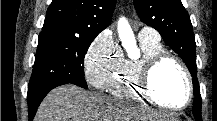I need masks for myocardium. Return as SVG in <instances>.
<instances>
[{
  "label": "myocardium",
  "mask_w": 217,
  "mask_h": 121,
  "mask_svg": "<svg viewBox=\"0 0 217 121\" xmlns=\"http://www.w3.org/2000/svg\"><path fill=\"white\" fill-rule=\"evenodd\" d=\"M166 62H171L175 64L182 71L186 79L188 92L187 98L182 105H168L164 103L162 100H160L153 91V86L151 82L152 75L159 67H161ZM138 84L141 94L145 98L170 111H181L186 109L192 102L194 96L193 81L188 68L179 58L166 52L160 53L152 58L146 59L140 64L138 72Z\"/></svg>",
  "instance_id": "obj_1"
}]
</instances>
